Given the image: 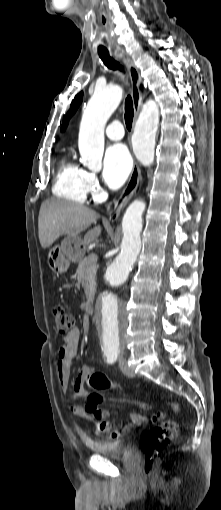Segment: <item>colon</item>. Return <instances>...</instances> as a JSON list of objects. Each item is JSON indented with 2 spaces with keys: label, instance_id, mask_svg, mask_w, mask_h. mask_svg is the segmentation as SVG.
Instances as JSON below:
<instances>
[{
  "label": "colon",
  "instance_id": "obj_1",
  "mask_svg": "<svg viewBox=\"0 0 221 510\" xmlns=\"http://www.w3.org/2000/svg\"><path fill=\"white\" fill-rule=\"evenodd\" d=\"M53 318L59 334L65 339L74 328L73 315L65 308L56 306L53 309ZM88 385L96 392L87 395L86 409L90 416V421L96 423L98 428L102 429L103 423L106 422L105 418L109 415V412L98 407L103 400V397L98 392L113 389L115 384L111 382L105 374L94 372L88 378ZM140 405L144 407L145 403H141ZM167 405L175 413L180 412V405L177 402H168ZM151 419L153 422H157L163 420L164 415L163 413H156ZM178 432V421L166 420L147 433L143 444L144 471L146 474L152 473L155 461L176 439Z\"/></svg>",
  "mask_w": 221,
  "mask_h": 510
}]
</instances>
